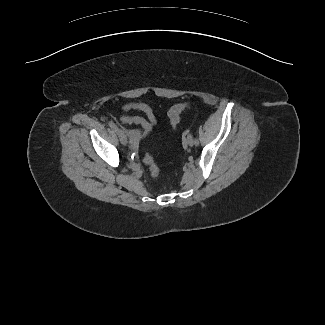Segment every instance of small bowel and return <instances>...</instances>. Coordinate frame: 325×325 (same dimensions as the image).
I'll return each instance as SVG.
<instances>
[{
	"mask_svg": "<svg viewBox=\"0 0 325 325\" xmlns=\"http://www.w3.org/2000/svg\"><path fill=\"white\" fill-rule=\"evenodd\" d=\"M122 110H140L147 115V119L140 116H124L119 119L121 123L140 125L142 130H126L134 149L138 148L139 142L145 138L152 130L156 122V117L152 109L145 103L130 102L122 106Z\"/></svg>",
	"mask_w": 325,
	"mask_h": 325,
	"instance_id": "obj_1",
	"label": "small bowel"
}]
</instances>
